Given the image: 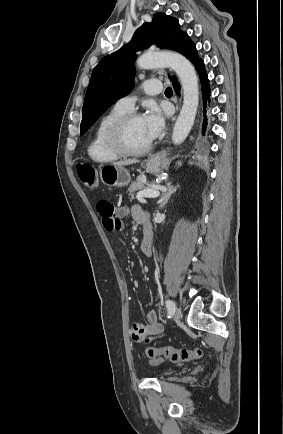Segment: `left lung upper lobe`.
I'll use <instances>...</instances> for the list:
<instances>
[{
  "mask_svg": "<svg viewBox=\"0 0 283 434\" xmlns=\"http://www.w3.org/2000/svg\"><path fill=\"white\" fill-rule=\"evenodd\" d=\"M154 43L159 48L179 52L193 64L201 59L195 44L180 29L178 20L162 12L156 13L152 22L144 23L127 45L102 58L94 68L82 108L80 134L85 133L118 99L131 92L134 85V53ZM169 78L172 81L177 79L175 76Z\"/></svg>",
  "mask_w": 283,
  "mask_h": 434,
  "instance_id": "5c2ea615",
  "label": "left lung upper lobe"
}]
</instances>
